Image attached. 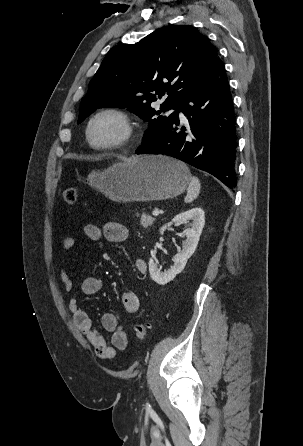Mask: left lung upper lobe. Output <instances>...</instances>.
Wrapping results in <instances>:
<instances>
[{
  "instance_id": "1",
  "label": "left lung upper lobe",
  "mask_w": 303,
  "mask_h": 446,
  "mask_svg": "<svg viewBox=\"0 0 303 446\" xmlns=\"http://www.w3.org/2000/svg\"><path fill=\"white\" fill-rule=\"evenodd\" d=\"M217 58L209 39L189 25L168 26L136 44L115 46L89 83L77 123L96 108H127L149 122L145 145L171 122L174 112H165L175 109ZM163 96L160 110L153 109L150 104Z\"/></svg>"
}]
</instances>
